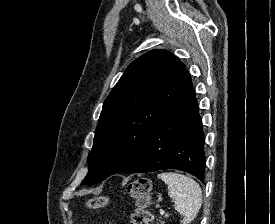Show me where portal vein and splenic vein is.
Returning a JSON list of instances; mask_svg holds the SVG:
<instances>
[{"mask_svg":"<svg viewBox=\"0 0 275 224\" xmlns=\"http://www.w3.org/2000/svg\"><path fill=\"white\" fill-rule=\"evenodd\" d=\"M164 213H165V211H163V210L160 211V214H164Z\"/></svg>","mask_w":275,"mask_h":224,"instance_id":"obj_1","label":"portal vein and splenic vein"}]
</instances>
